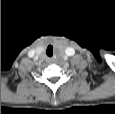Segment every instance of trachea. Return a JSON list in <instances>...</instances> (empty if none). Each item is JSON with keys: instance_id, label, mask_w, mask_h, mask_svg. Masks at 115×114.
Segmentation results:
<instances>
[{"instance_id": "3493384b", "label": "trachea", "mask_w": 115, "mask_h": 114, "mask_svg": "<svg viewBox=\"0 0 115 114\" xmlns=\"http://www.w3.org/2000/svg\"><path fill=\"white\" fill-rule=\"evenodd\" d=\"M46 53L50 57L53 55V47L51 45L47 47Z\"/></svg>"}]
</instances>
